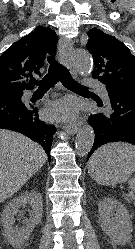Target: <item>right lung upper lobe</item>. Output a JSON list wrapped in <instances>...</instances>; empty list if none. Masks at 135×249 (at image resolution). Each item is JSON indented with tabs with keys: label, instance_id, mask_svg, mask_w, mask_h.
I'll return each instance as SVG.
<instances>
[{
	"label": "right lung upper lobe",
	"instance_id": "right-lung-upper-lobe-1",
	"mask_svg": "<svg viewBox=\"0 0 135 249\" xmlns=\"http://www.w3.org/2000/svg\"><path fill=\"white\" fill-rule=\"evenodd\" d=\"M57 40L52 29L39 26L13 43L0 56V93L32 89L29 78L40 74L47 53L55 52Z\"/></svg>",
	"mask_w": 135,
	"mask_h": 249
}]
</instances>
